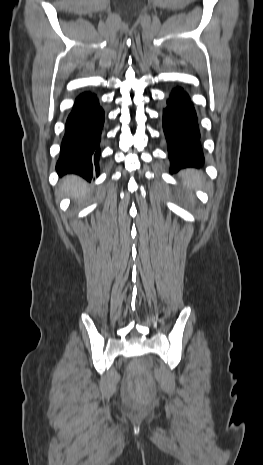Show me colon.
I'll return each mask as SVG.
<instances>
[{
  "mask_svg": "<svg viewBox=\"0 0 263 465\" xmlns=\"http://www.w3.org/2000/svg\"><path fill=\"white\" fill-rule=\"evenodd\" d=\"M133 382H134V385H135V387L137 388V390H138V391H142V389H143V384H144L143 378L140 377V376H136V377L134 378V381H133ZM145 397L147 398L148 396H145Z\"/></svg>",
  "mask_w": 263,
  "mask_h": 465,
  "instance_id": "5ec220e1",
  "label": "colon"
}]
</instances>
